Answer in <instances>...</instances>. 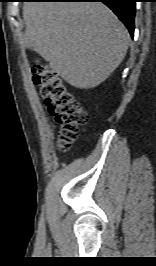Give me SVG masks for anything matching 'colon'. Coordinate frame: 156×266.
<instances>
[{
  "label": "colon",
  "instance_id": "colon-1",
  "mask_svg": "<svg viewBox=\"0 0 156 266\" xmlns=\"http://www.w3.org/2000/svg\"><path fill=\"white\" fill-rule=\"evenodd\" d=\"M33 80L41 88L49 113L60 125L59 148L67 150L78 139L82 127L88 121V114L47 65L41 62L35 64Z\"/></svg>",
  "mask_w": 156,
  "mask_h": 266
}]
</instances>
